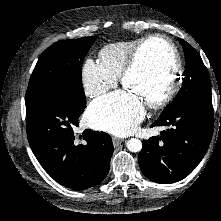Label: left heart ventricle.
I'll use <instances>...</instances> for the list:
<instances>
[{
  "label": "left heart ventricle",
  "instance_id": "b2bd125f",
  "mask_svg": "<svg viewBox=\"0 0 221 221\" xmlns=\"http://www.w3.org/2000/svg\"><path fill=\"white\" fill-rule=\"evenodd\" d=\"M172 69L173 59L166 43L153 41L142 49L125 88L147 104L165 90Z\"/></svg>",
  "mask_w": 221,
  "mask_h": 221
}]
</instances>
